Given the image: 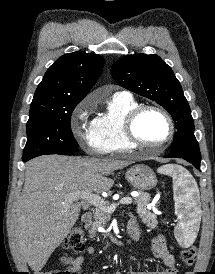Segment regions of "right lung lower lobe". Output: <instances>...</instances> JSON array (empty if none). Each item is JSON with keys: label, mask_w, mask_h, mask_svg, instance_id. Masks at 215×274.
<instances>
[{"label": "right lung lower lobe", "mask_w": 215, "mask_h": 274, "mask_svg": "<svg viewBox=\"0 0 215 274\" xmlns=\"http://www.w3.org/2000/svg\"><path fill=\"white\" fill-rule=\"evenodd\" d=\"M76 151H77V149H74V150H71V151L61 152V153H58V154H71V153H74ZM22 160H23V162H26L30 159H22Z\"/></svg>", "instance_id": "right-lung-lower-lobe-1"}]
</instances>
